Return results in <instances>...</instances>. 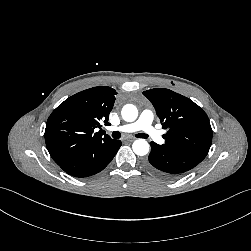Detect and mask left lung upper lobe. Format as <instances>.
<instances>
[{
    "instance_id": "5c2ea615",
    "label": "left lung upper lobe",
    "mask_w": 251,
    "mask_h": 251,
    "mask_svg": "<svg viewBox=\"0 0 251 251\" xmlns=\"http://www.w3.org/2000/svg\"><path fill=\"white\" fill-rule=\"evenodd\" d=\"M153 104L163 124L166 148L175 149L202 161L209 152L212 128L207 114L189 98L169 89L143 92Z\"/></svg>"
}]
</instances>
